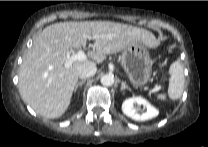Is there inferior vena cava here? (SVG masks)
Listing matches in <instances>:
<instances>
[{
    "instance_id": "1",
    "label": "inferior vena cava",
    "mask_w": 208,
    "mask_h": 147,
    "mask_svg": "<svg viewBox=\"0 0 208 147\" xmlns=\"http://www.w3.org/2000/svg\"><path fill=\"white\" fill-rule=\"evenodd\" d=\"M96 71H97L96 65L92 64V65L86 66L85 68L81 69L79 71L78 76L81 79H86L88 77L95 75Z\"/></svg>"
}]
</instances>
